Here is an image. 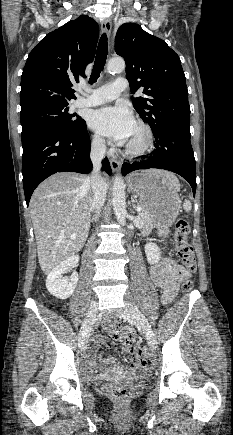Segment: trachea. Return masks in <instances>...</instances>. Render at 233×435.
<instances>
[{"label": "trachea", "instance_id": "obj_1", "mask_svg": "<svg viewBox=\"0 0 233 435\" xmlns=\"http://www.w3.org/2000/svg\"><path fill=\"white\" fill-rule=\"evenodd\" d=\"M107 54H108V43H107L106 33H104L101 36L98 44L95 62L89 80L90 84L95 83L100 76V72L103 71L107 59Z\"/></svg>", "mask_w": 233, "mask_h": 435}]
</instances>
